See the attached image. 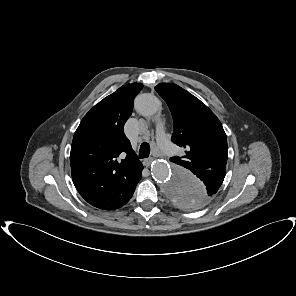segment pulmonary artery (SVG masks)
Here are the masks:
<instances>
[{
  "mask_svg": "<svg viewBox=\"0 0 296 296\" xmlns=\"http://www.w3.org/2000/svg\"><path fill=\"white\" fill-rule=\"evenodd\" d=\"M157 142L161 150L167 155H172L175 152L174 146L168 141L162 123L157 125L156 129Z\"/></svg>",
  "mask_w": 296,
  "mask_h": 296,
  "instance_id": "obj_1",
  "label": "pulmonary artery"
}]
</instances>
